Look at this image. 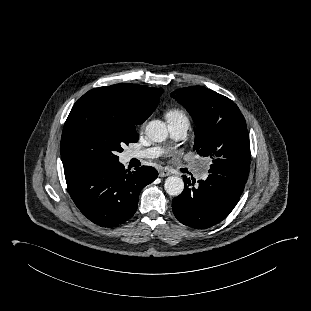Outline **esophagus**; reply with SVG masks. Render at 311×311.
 Instances as JSON below:
<instances>
[{"label":"esophagus","mask_w":311,"mask_h":311,"mask_svg":"<svg viewBox=\"0 0 311 311\" xmlns=\"http://www.w3.org/2000/svg\"><path fill=\"white\" fill-rule=\"evenodd\" d=\"M171 173L168 171V170H166V169H161L160 171H159V176L160 177H166V176H169Z\"/></svg>","instance_id":"obj_1"}]
</instances>
